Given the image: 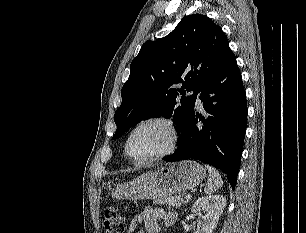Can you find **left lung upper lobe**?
<instances>
[{
  "instance_id": "obj_1",
  "label": "left lung upper lobe",
  "mask_w": 306,
  "mask_h": 233,
  "mask_svg": "<svg viewBox=\"0 0 306 233\" xmlns=\"http://www.w3.org/2000/svg\"><path fill=\"white\" fill-rule=\"evenodd\" d=\"M229 42L206 15L185 17L167 36L147 41L130 65V76L121 90L122 103L114 114L121 137L131 126L153 117H170L180 132L194 112L197 94L229 52ZM182 83L181 88L175 85ZM194 91L191 96L177 97Z\"/></svg>"
}]
</instances>
